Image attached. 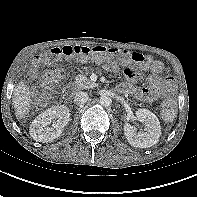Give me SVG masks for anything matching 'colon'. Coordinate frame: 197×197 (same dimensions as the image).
I'll use <instances>...</instances> for the list:
<instances>
[{
    "label": "colon",
    "mask_w": 197,
    "mask_h": 197,
    "mask_svg": "<svg viewBox=\"0 0 197 197\" xmlns=\"http://www.w3.org/2000/svg\"><path fill=\"white\" fill-rule=\"evenodd\" d=\"M79 58L87 59L89 57L96 61H109L111 63H117L119 61H130L137 68H143L149 63V58L141 53H129L127 51H122L117 48H107L105 46H80V45H66L62 47H54L49 50L48 53L42 56L36 57V63L52 64L60 58ZM62 77L60 71H51L44 75L43 80L40 85H38L35 90L36 97L45 96L50 87L58 82ZM176 109L174 101H167L164 103L162 108V117L166 121H172L175 117Z\"/></svg>",
    "instance_id": "5ec220e1"
}]
</instances>
